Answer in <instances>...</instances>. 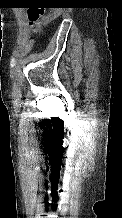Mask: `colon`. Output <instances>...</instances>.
<instances>
[{
	"label": "colon",
	"instance_id": "1",
	"mask_svg": "<svg viewBox=\"0 0 122 218\" xmlns=\"http://www.w3.org/2000/svg\"><path fill=\"white\" fill-rule=\"evenodd\" d=\"M42 14L43 12L41 10H31L28 15L30 23H37L40 20Z\"/></svg>",
	"mask_w": 122,
	"mask_h": 218
}]
</instances>
